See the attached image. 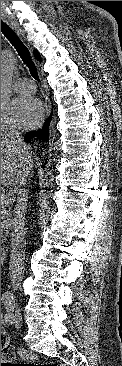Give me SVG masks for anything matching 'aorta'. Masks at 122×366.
Masks as SVG:
<instances>
[{
    "instance_id": "aorta-1",
    "label": "aorta",
    "mask_w": 122,
    "mask_h": 366,
    "mask_svg": "<svg viewBox=\"0 0 122 366\" xmlns=\"http://www.w3.org/2000/svg\"><path fill=\"white\" fill-rule=\"evenodd\" d=\"M15 67V56L9 51H1V106L10 99Z\"/></svg>"
}]
</instances>
